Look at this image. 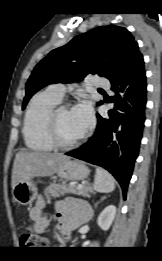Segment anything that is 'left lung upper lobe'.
<instances>
[{"mask_svg":"<svg viewBox=\"0 0 162 261\" xmlns=\"http://www.w3.org/2000/svg\"><path fill=\"white\" fill-rule=\"evenodd\" d=\"M141 59L138 44L126 28L108 25L78 35L36 65L26 84L23 109L46 85L80 81L88 74H98L111 82Z\"/></svg>","mask_w":162,"mask_h":261,"instance_id":"5c2ea615","label":"left lung upper lobe"}]
</instances>
